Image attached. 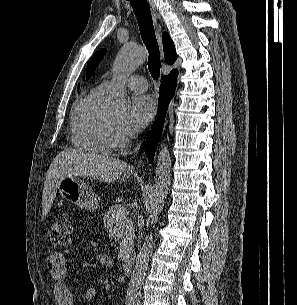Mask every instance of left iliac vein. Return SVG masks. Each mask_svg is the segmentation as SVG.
<instances>
[{
	"mask_svg": "<svg viewBox=\"0 0 297 305\" xmlns=\"http://www.w3.org/2000/svg\"><path fill=\"white\" fill-rule=\"evenodd\" d=\"M135 305H141V304L137 303V304H135Z\"/></svg>",
	"mask_w": 297,
	"mask_h": 305,
	"instance_id": "1",
	"label": "left iliac vein"
}]
</instances>
